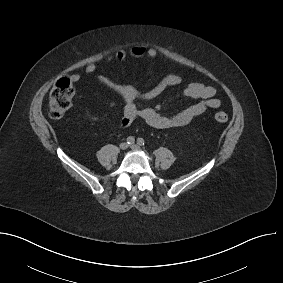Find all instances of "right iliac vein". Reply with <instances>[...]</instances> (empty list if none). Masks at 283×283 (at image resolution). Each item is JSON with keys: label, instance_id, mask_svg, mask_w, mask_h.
I'll list each match as a JSON object with an SVG mask.
<instances>
[{"label": "right iliac vein", "instance_id": "right-iliac-vein-1", "mask_svg": "<svg viewBox=\"0 0 283 283\" xmlns=\"http://www.w3.org/2000/svg\"><path fill=\"white\" fill-rule=\"evenodd\" d=\"M119 147L121 150H126L128 148V144L126 142H122Z\"/></svg>", "mask_w": 283, "mask_h": 283}]
</instances>
